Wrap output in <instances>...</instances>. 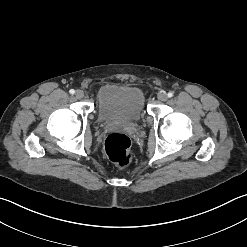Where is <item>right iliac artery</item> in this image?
Returning a JSON list of instances; mask_svg holds the SVG:
<instances>
[{"label":"right iliac artery","mask_w":247,"mask_h":247,"mask_svg":"<svg viewBox=\"0 0 247 247\" xmlns=\"http://www.w3.org/2000/svg\"><path fill=\"white\" fill-rule=\"evenodd\" d=\"M69 93L73 95V94L75 93V90H74V89H71V90L69 91Z\"/></svg>","instance_id":"right-iliac-artery-1"}]
</instances>
